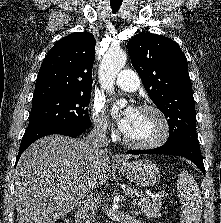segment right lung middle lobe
I'll use <instances>...</instances> for the list:
<instances>
[{"instance_id": "right-lung-middle-lobe-1", "label": "right lung middle lobe", "mask_w": 221, "mask_h": 223, "mask_svg": "<svg viewBox=\"0 0 221 223\" xmlns=\"http://www.w3.org/2000/svg\"><path fill=\"white\" fill-rule=\"evenodd\" d=\"M90 93L57 95L33 100L27 130L52 124L89 128L91 121L86 107L90 102Z\"/></svg>"}]
</instances>
